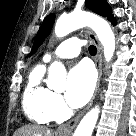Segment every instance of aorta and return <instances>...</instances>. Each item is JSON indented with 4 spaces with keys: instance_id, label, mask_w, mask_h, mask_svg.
I'll list each match as a JSON object with an SVG mask.
<instances>
[{
    "instance_id": "aorta-1",
    "label": "aorta",
    "mask_w": 136,
    "mask_h": 136,
    "mask_svg": "<svg viewBox=\"0 0 136 136\" xmlns=\"http://www.w3.org/2000/svg\"><path fill=\"white\" fill-rule=\"evenodd\" d=\"M88 26L97 35L103 46L104 57L107 62L111 60L115 51V35L109 23L103 18L85 11H74L58 18L55 25V35L64 37L76 29ZM50 89L63 92L66 88V69L60 62H53L48 69V82ZM99 116L96 106L89 111L77 126L73 136H91Z\"/></svg>"
}]
</instances>
